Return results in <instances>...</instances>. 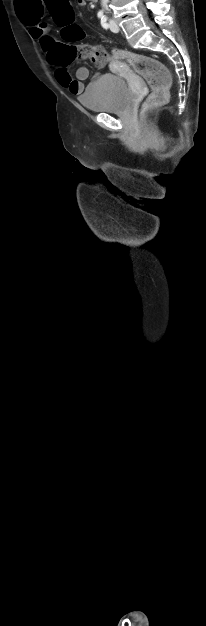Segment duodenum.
Instances as JSON below:
<instances>
[{
  "mask_svg": "<svg viewBox=\"0 0 206 626\" xmlns=\"http://www.w3.org/2000/svg\"><path fill=\"white\" fill-rule=\"evenodd\" d=\"M92 2H97L98 0H91Z\"/></svg>",
  "mask_w": 206,
  "mask_h": 626,
  "instance_id": "410a0bca",
  "label": "duodenum"
}]
</instances>
